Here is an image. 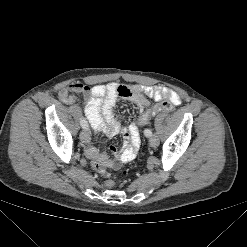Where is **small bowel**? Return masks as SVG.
<instances>
[{"label":"small bowel","instance_id":"c3829d8e","mask_svg":"<svg viewBox=\"0 0 247 247\" xmlns=\"http://www.w3.org/2000/svg\"><path fill=\"white\" fill-rule=\"evenodd\" d=\"M120 86L115 82L93 86L75 82L64 87L58 93L60 101L65 104L75 103L79 95L86 98L87 103L84 112L96 132H103L107 136L122 133L124 136V145L120 152L113 147L110 149L111 154L115 156L114 159H111L108 154L100 153L95 148H87L85 153L93 167L99 163L103 167L117 169L122 163L134 159L137 154L140 144V124L136 120L126 128L117 120L114 108L120 98L134 102L140 110L148 106V98H153L155 101L167 100L173 105H178L181 102L179 95L166 87L127 86L130 91L129 95L122 96L119 93Z\"/></svg>","mask_w":247,"mask_h":247}]
</instances>
